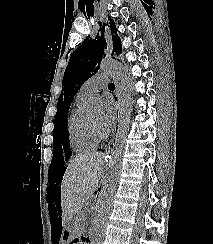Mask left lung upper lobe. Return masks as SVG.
<instances>
[{"label":"left lung upper lobe","mask_w":213,"mask_h":244,"mask_svg":"<svg viewBox=\"0 0 213 244\" xmlns=\"http://www.w3.org/2000/svg\"><path fill=\"white\" fill-rule=\"evenodd\" d=\"M110 27L113 40L112 54H121V40L117 35V29L113 21L112 24L110 22ZM103 34L102 29L101 34L97 35L95 39L86 38L81 46L69 54L62 81V93L57 103L55 127H66L68 110L75 94L83 83L98 71L99 61L105 56L104 49L107 48Z\"/></svg>","instance_id":"5c2ea615"}]
</instances>
